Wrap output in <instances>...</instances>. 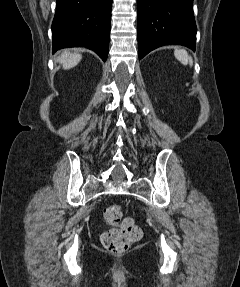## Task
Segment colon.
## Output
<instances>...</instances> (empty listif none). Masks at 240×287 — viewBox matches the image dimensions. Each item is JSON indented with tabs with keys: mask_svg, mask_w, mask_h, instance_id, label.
I'll return each mask as SVG.
<instances>
[{
	"mask_svg": "<svg viewBox=\"0 0 240 287\" xmlns=\"http://www.w3.org/2000/svg\"><path fill=\"white\" fill-rule=\"evenodd\" d=\"M104 219L111 228L101 235V243L112 254H123L142 235L141 229L132 218L123 217L120 205L106 207Z\"/></svg>",
	"mask_w": 240,
	"mask_h": 287,
	"instance_id": "5ec220e1",
	"label": "colon"
}]
</instances>
